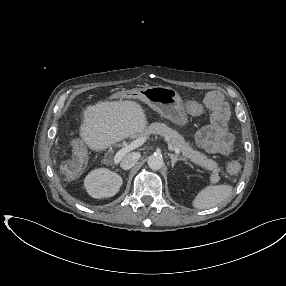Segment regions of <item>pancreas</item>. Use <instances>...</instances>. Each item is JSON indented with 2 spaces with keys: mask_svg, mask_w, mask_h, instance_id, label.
Segmentation results:
<instances>
[{
  "mask_svg": "<svg viewBox=\"0 0 286 286\" xmlns=\"http://www.w3.org/2000/svg\"><path fill=\"white\" fill-rule=\"evenodd\" d=\"M154 134L163 136L169 141L173 148H178L182 152L183 156L188 158L194 164L212 171L210 176V181L212 183H217L219 181L220 168L217 163L214 160L209 159L205 154L193 150L189 143H187L183 136H181L177 131L171 129L164 123L156 122L141 132V135L146 136Z\"/></svg>",
  "mask_w": 286,
  "mask_h": 286,
  "instance_id": "1",
  "label": "pancreas"
}]
</instances>
